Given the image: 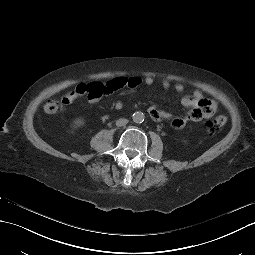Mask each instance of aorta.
Segmentation results:
<instances>
[{
  "label": "aorta",
  "instance_id": "aorta-1",
  "mask_svg": "<svg viewBox=\"0 0 255 255\" xmlns=\"http://www.w3.org/2000/svg\"><path fill=\"white\" fill-rule=\"evenodd\" d=\"M132 119L135 123H142L144 121V114L141 112H135L132 115Z\"/></svg>",
  "mask_w": 255,
  "mask_h": 255
}]
</instances>
